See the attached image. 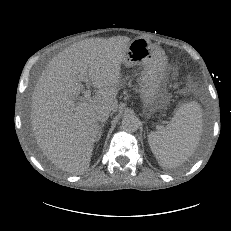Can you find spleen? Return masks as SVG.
I'll use <instances>...</instances> for the list:
<instances>
[{"label":"spleen","mask_w":231,"mask_h":231,"mask_svg":"<svg viewBox=\"0 0 231 231\" xmlns=\"http://www.w3.org/2000/svg\"><path fill=\"white\" fill-rule=\"evenodd\" d=\"M203 128L202 111L197 102L178 108L166 126L148 135V143L160 166L175 168L183 164L198 147Z\"/></svg>","instance_id":"3e777b00"}]
</instances>
